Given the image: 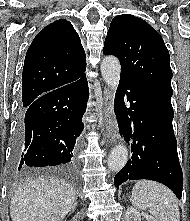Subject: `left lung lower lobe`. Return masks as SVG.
<instances>
[{
  "mask_svg": "<svg viewBox=\"0 0 190 221\" xmlns=\"http://www.w3.org/2000/svg\"><path fill=\"white\" fill-rule=\"evenodd\" d=\"M171 97L166 91L120 79L115 112L120 134L131 143L132 158L115 176L117 188L127 180L149 179L166 185L181 198L183 173L172 126Z\"/></svg>",
  "mask_w": 190,
  "mask_h": 221,
  "instance_id": "1",
  "label": "left lung lower lobe"
}]
</instances>
